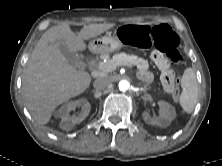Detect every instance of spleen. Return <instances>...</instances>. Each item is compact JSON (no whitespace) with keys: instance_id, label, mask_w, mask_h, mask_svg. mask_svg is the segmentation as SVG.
<instances>
[{"instance_id":"3e777b00","label":"spleen","mask_w":222,"mask_h":166,"mask_svg":"<svg viewBox=\"0 0 222 166\" xmlns=\"http://www.w3.org/2000/svg\"><path fill=\"white\" fill-rule=\"evenodd\" d=\"M182 94L179 103L183 110L192 113L198 99V83L195 72L192 68H187L181 79Z\"/></svg>"}]
</instances>
